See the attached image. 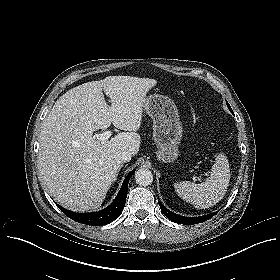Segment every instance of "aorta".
Returning <instances> with one entry per match:
<instances>
[{
    "label": "aorta",
    "mask_w": 280,
    "mask_h": 280,
    "mask_svg": "<svg viewBox=\"0 0 280 280\" xmlns=\"http://www.w3.org/2000/svg\"><path fill=\"white\" fill-rule=\"evenodd\" d=\"M135 181L141 186H148L153 182V174L149 169L140 168L135 172Z\"/></svg>",
    "instance_id": "obj_1"
}]
</instances>
